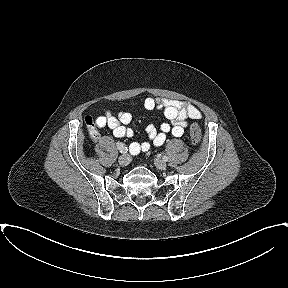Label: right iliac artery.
<instances>
[{"label":"right iliac artery","mask_w":288,"mask_h":288,"mask_svg":"<svg viewBox=\"0 0 288 288\" xmlns=\"http://www.w3.org/2000/svg\"><path fill=\"white\" fill-rule=\"evenodd\" d=\"M116 146H117V148L120 150V152H121V149L125 146L123 143H121V142H117L116 143Z\"/></svg>","instance_id":"right-iliac-artery-1"}]
</instances>
